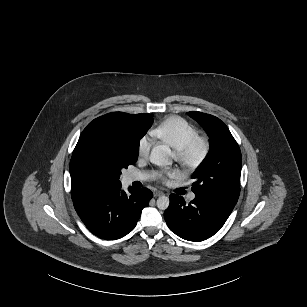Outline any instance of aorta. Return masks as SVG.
Returning <instances> with one entry per match:
<instances>
[{
    "label": "aorta",
    "mask_w": 307,
    "mask_h": 307,
    "mask_svg": "<svg viewBox=\"0 0 307 307\" xmlns=\"http://www.w3.org/2000/svg\"><path fill=\"white\" fill-rule=\"evenodd\" d=\"M150 162L158 166H167L172 164V152L168 145L155 146L150 154ZM169 198L167 196H160L157 199V207L165 210L169 206Z\"/></svg>",
    "instance_id": "1"
}]
</instances>
